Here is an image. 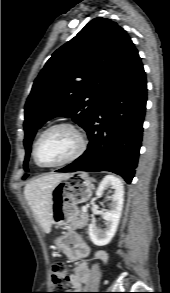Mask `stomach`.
I'll list each match as a JSON object with an SVG mask.
<instances>
[{
	"instance_id": "1",
	"label": "stomach",
	"mask_w": 170,
	"mask_h": 293,
	"mask_svg": "<svg viewBox=\"0 0 170 293\" xmlns=\"http://www.w3.org/2000/svg\"><path fill=\"white\" fill-rule=\"evenodd\" d=\"M92 195L91 179L86 173L67 174L52 190V223L65 226L79 214L78 204L84 203ZM64 249V238L56 240Z\"/></svg>"
}]
</instances>
